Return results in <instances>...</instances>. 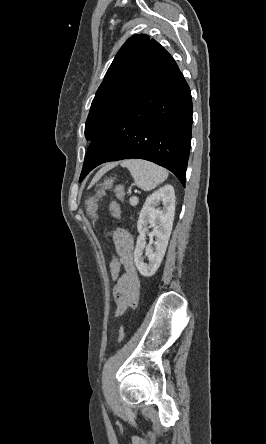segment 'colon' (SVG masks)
Segmentation results:
<instances>
[{"label":"colon","instance_id":"1","mask_svg":"<svg viewBox=\"0 0 266 444\" xmlns=\"http://www.w3.org/2000/svg\"><path fill=\"white\" fill-rule=\"evenodd\" d=\"M114 192L119 199H122L125 195V188L121 185L115 187ZM110 212L113 217L118 218L120 216V206L117 202H113L110 205ZM121 263L117 255H113L109 264V275L112 281L117 282L120 276ZM126 335L124 326H121L118 335L117 342H121Z\"/></svg>","mask_w":266,"mask_h":444}]
</instances>
